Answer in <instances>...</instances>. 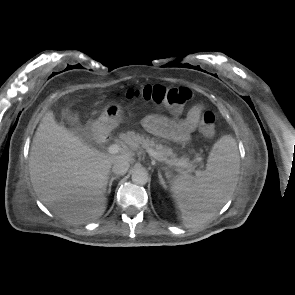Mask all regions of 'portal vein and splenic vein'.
Segmentation results:
<instances>
[{"instance_id": "obj_1", "label": "portal vein and splenic vein", "mask_w": 295, "mask_h": 295, "mask_svg": "<svg viewBox=\"0 0 295 295\" xmlns=\"http://www.w3.org/2000/svg\"><path fill=\"white\" fill-rule=\"evenodd\" d=\"M121 150L120 146L118 144H112L108 147V152L111 154H116ZM147 152L149 153L150 156H152L153 158H155L158 161H164L166 164L168 165H175V166H186L187 163L186 162H175L172 160H168L165 158H161L157 152H155L152 149H148Z\"/></svg>"}]
</instances>
